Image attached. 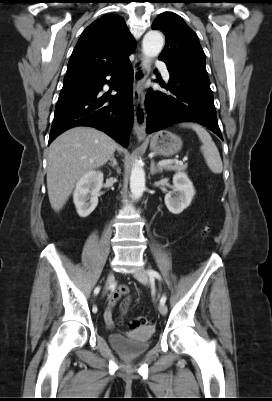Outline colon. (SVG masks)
<instances>
[{
    "mask_svg": "<svg viewBox=\"0 0 272 401\" xmlns=\"http://www.w3.org/2000/svg\"><path fill=\"white\" fill-rule=\"evenodd\" d=\"M121 289H123V287H121ZM149 319L147 317L141 316V317H137L132 319L129 322V327L132 329H136L142 326H148L149 325Z\"/></svg>",
    "mask_w": 272,
    "mask_h": 401,
    "instance_id": "5ec220e1",
    "label": "colon"
}]
</instances>
